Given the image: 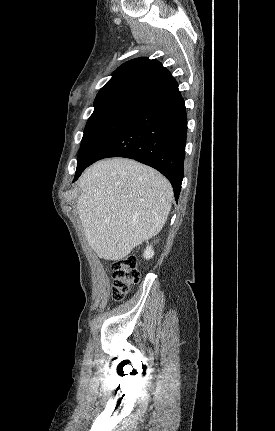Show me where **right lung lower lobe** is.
<instances>
[{"label":"right lung lower lobe","instance_id":"1","mask_svg":"<svg viewBox=\"0 0 275 431\" xmlns=\"http://www.w3.org/2000/svg\"><path fill=\"white\" fill-rule=\"evenodd\" d=\"M187 117L178 87L139 108L92 160L76 171L107 157L131 158L161 172L172 184L176 201L183 179Z\"/></svg>","mask_w":275,"mask_h":431}]
</instances>
